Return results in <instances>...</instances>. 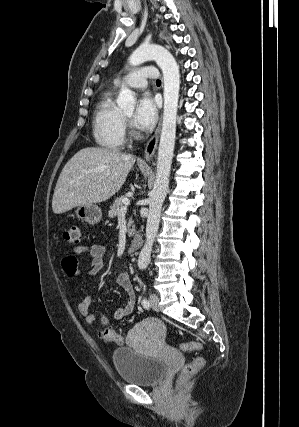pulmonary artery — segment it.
<instances>
[{"label": "pulmonary artery", "mask_w": 299, "mask_h": 427, "mask_svg": "<svg viewBox=\"0 0 299 427\" xmlns=\"http://www.w3.org/2000/svg\"><path fill=\"white\" fill-rule=\"evenodd\" d=\"M157 78L158 72L155 68L144 66L129 73L123 81H116V86H120L124 83L135 89H144L149 79L156 80Z\"/></svg>", "instance_id": "1"}]
</instances>
